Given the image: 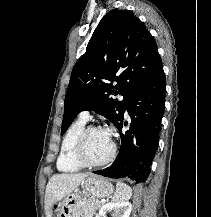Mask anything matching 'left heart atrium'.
<instances>
[{
  "label": "left heart atrium",
  "instance_id": "39dd6f15",
  "mask_svg": "<svg viewBox=\"0 0 211 217\" xmlns=\"http://www.w3.org/2000/svg\"><path fill=\"white\" fill-rule=\"evenodd\" d=\"M102 131L110 138V132L108 130H102Z\"/></svg>",
  "mask_w": 211,
  "mask_h": 217
}]
</instances>
